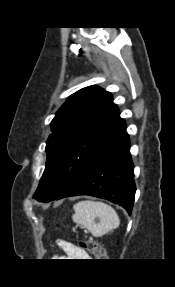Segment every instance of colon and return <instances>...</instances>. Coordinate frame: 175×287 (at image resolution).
<instances>
[{"instance_id":"5ec220e1","label":"colon","mask_w":175,"mask_h":287,"mask_svg":"<svg viewBox=\"0 0 175 287\" xmlns=\"http://www.w3.org/2000/svg\"><path fill=\"white\" fill-rule=\"evenodd\" d=\"M79 247L82 249L87 250L89 253H91L93 256L97 258H104L105 257V251L101 244L94 242V241H88V240H81L79 241Z\"/></svg>"}]
</instances>
